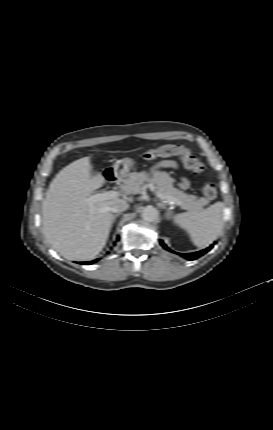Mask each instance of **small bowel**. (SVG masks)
<instances>
[{"label":"small bowel","mask_w":273,"mask_h":430,"mask_svg":"<svg viewBox=\"0 0 273 430\" xmlns=\"http://www.w3.org/2000/svg\"><path fill=\"white\" fill-rule=\"evenodd\" d=\"M176 166V163L172 160H162L154 166V169L176 168ZM179 185L182 189H187L190 183L187 178H182Z\"/></svg>","instance_id":"small-bowel-1"}]
</instances>
